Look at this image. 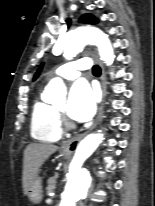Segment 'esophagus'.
Segmentation results:
<instances>
[{"mask_svg":"<svg viewBox=\"0 0 155 206\" xmlns=\"http://www.w3.org/2000/svg\"><path fill=\"white\" fill-rule=\"evenodd\" d=\"M95 54H96V57H97V61L99 62L100 66H101V77H100V79H101V102H100V106L98 108L96 119H95L93 125L90 127L89 131L92 130L93 128H95L96 125L98 124V122L101 118V115H102L103 102H104L105 97H106V75H105V70H104L102 62L98 58L96 50H95ZM86 133L80 134L78 136H75V137L65 141L62 144V147H61L62 151L66 154H72L76 150L79 142L86 135Z\"/></svg>","mask_w":155,"mask_h":206,"instance_id":"esophagus-1","label":"esophagus"}]
</instances>
